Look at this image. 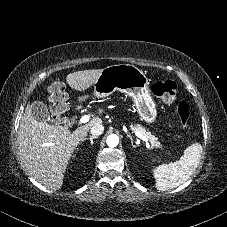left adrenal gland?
I'll return each instance as SVG.
<instances>
[{
  "label": "left adrenal gland",
  "mask_w": 227,
  "mask_h": 227,
  "mask_svg": "<svg viewBox=\"0 0 227 227\" xmlns=\"http://www.w3.org/2000/svg\"><path fill=\"white\" fill-rule=\"evenodd\" d=\"M129 137V139L131 140V144L133 147H135V145L133 144V139H132V136H130L129 134L127 135Z\"/></svg>",
  "instance_id": "a2214340"
}]
</instances>
